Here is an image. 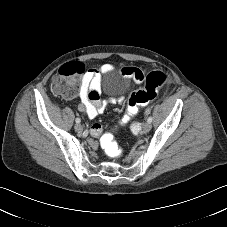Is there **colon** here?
<instances>
[{"mask_svg": "<svg viewBox=\"0 0 227 227\" xmlns=\"http://www.w3.org/2000/svg\"><path fill=\"white\" fill-rule=\"evenodd\" d=\"M83 73V67L77 62L67 63L53 80V89L62 96L73 97L78 88L79 77ZM126 74L134 79H140V70L126 71ZM145 84L142 88L134 91L128 98L126 114L121 123L126 124L135 116L139 107L148 104L153 100L161 88L169 81V76L164 71H153L145 76ZM92 100L99 98V92L92 89L90 92ZM101 147L110 158H116L122 153V147L116 142L111 134L103 135L100 138Z\"/></svg>", "mask_w": 227, "mask_h": 227, "instance_id": "5ec220e1", "label": "colon"}]
</instances>
